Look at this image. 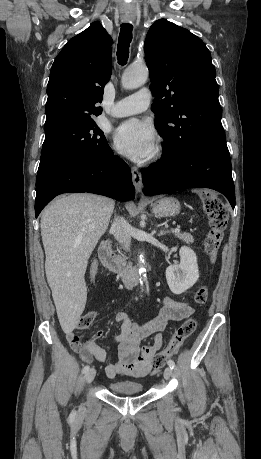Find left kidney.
<instances>
[{"label":"left kidney","instance_id":"obj_1","mask_svg":"<svg viewBox=\"0 0 261 459\" xmlns=\"http://www.w3.org/2000/svg\"><path fill=\"white\" fill-rule=\"evenodd\" d=\"M180 264L171 265L166 269V280L170 290L174 294H182L191 288L199 279L197 256L187 246L179 251Z\"/></svg>","mask_w":261,"mask_h":459}]
</instances>
